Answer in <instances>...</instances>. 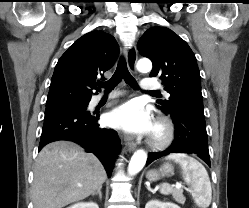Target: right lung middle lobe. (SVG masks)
<instances>
[{
  "mask_svg": "<svg viewBox=\"0 0 249 208\" xmlns=\"http://www.w3.org/2000/svg\"><path fill=\"white\" fill-rule=\"evenodd\" d=\"M76 103L86 104L88 103V101H82V102H76Z\"/></svg>",
  "mask_w": 249,
  "mask_h": 208,
  "instance_id": "dd1d6c3e",
  "label": "right lung middle lobe"
}]
</instances>
